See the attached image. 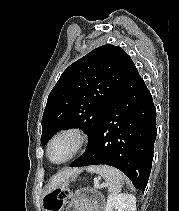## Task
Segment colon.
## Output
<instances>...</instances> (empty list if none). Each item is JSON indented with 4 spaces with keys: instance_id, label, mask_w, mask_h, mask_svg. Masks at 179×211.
<instances>
[{
    "instance_id": "colon-1",
    "label": "colon",
    "mask_w": 179,
    "mask_h": 211,
    "mask_svg": "<svg viewBox=\"0 0 179 211\" xmlns=\"http://www.w3.org/2000/svg\"><path fill=\"white\" fill-rule=\"evenodd\" d=\"M68 197V191L65 188L55 189L50 192L44 199V205L47 211H59L62 209L66 199Z\"/></svg>"
}]
</instances>
